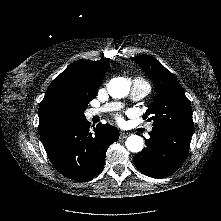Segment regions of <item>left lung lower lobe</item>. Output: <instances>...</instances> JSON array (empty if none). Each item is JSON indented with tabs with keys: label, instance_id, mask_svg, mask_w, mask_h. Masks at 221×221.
Segmentation results:
<instances>
[{
	"label": "left lung lower lobe",
	"instance_id": "obj_1",
	"mask_svg": "<svg viewBox=\"0 0 221 221\" xmlns=\"http://www.w3.org/2000/svg\"><path fill=\"white\" fill-rule=\"evenodd\" d=\"M146 148L134 156V164L142 173L164 178L174 173L187 157L192 132L169 128H153Z\"/></svg>",
	"mask_w": 221,
	"mask_h": 221
}]
</instances>
